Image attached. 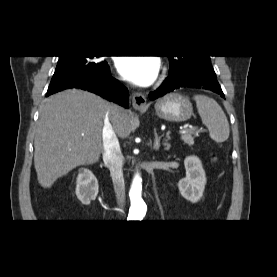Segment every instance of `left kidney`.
<instances>
[{"mask_svg": "<svg viewBox=\"0 0 277 277\" xmlns=\"http://www.w3.org/2000/svg\"><path fill=\"white\" fill-rule=\"evenodd\" d=\"M186 177L178 182L181 195L192 203L198 202L206 185V175L201 160L197 156H187L184 160Z\"/></svg>", "mask_w": 277, "mask_h": 277, "instance_id": "left-kidney-1", "label": "left kidney"}]
</instances>
